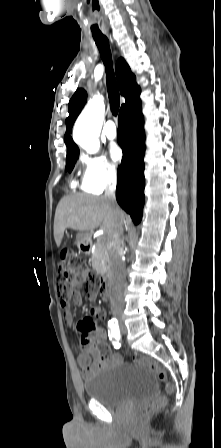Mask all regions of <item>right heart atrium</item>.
Returning <instances> with one entry per match:
<instances>
[{
	"instance_id": "d8ad5b80",
	"label": "right heart atrium",
	"mask_w": 221,
	"mask_h": 448,
	"mask_svg": "<svg viewBox=\"0 0 221 448\" xmlns=\"http://www.w3.org/2000/svg\"><path fill=\"white\" fill-rule=\"evenodd\" d=\"M83 174L81 187L90 193H99L116 183L118 170L114 163L102 155H84L81 159Z\"/></svg>"
}]
</instances>
